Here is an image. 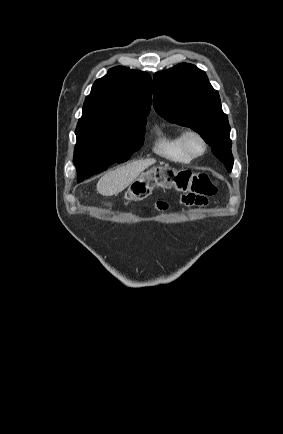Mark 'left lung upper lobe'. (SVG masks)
Masks as SVG:
<instances>
[{
	"mask_svg": "<svg viewBox=\"0 0 283 434\" xmlns=\"http://www.w3.org/2000/svg\"><path fill=\"white\" fill-rule=\"evenodd\" d=\"M156 112L171 123L198 132L228 171L233 167L230 126L220 97L204 71L182 63L157 72L153 82Z\"/></svg>",
	"mask_w": 283,
	"mask_h": 434,
	"instance_id": "1",
	"label": "left lung upper lobe"
}]
</instances>
